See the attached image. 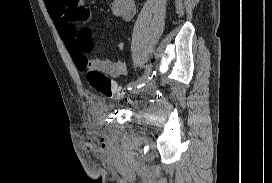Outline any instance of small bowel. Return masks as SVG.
<instances>
[{
    "instance_id": "c3829d8e",
    "label": "small bowel",
    "mask_w": 272,
    "mask_h": 183,
    "mask_svg": "<svg viewBox=\"0 0 272 183\" xmlns=\"http://www.w3.org/2000/svg\"><path fill=\"white\" fill-rule=\"evenodd\" d=\"M45 4L78 70L93 68L113 78L126 75L127 66L122 61L88 58L94 45L90 29L93 16L84 0H45ZM112 12L125 21L131 20L136 13L135 0H114ZM118 47L123 50L125 43L120 41Z\"/></svg>"
}]
</instances>
